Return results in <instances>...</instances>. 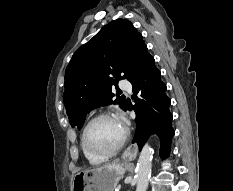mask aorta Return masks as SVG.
<instances>
[{
  "instance_id": "aorta-1",
  "label": "aorta",
  "mask_w": 233,
  "mask_h": 191,
  "mask_svg": "<svg viewBox=\"0 0 233 191\" xmlns=\"http://www.w3.org/2000/svg\"><path fill=\"white\" fill-rule=\"evenodd\" d=\"M153 149L148 143L144 145L140 153L136 167V191H146L151 175Z\"/></svg>"
}]
</instances>
